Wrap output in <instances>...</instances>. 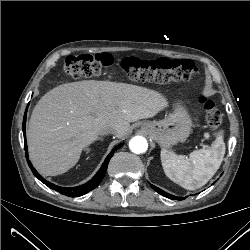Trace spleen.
<instances>
[{
	"mask_svg": "<svg viewBox=\"0 0 250 250\" xmlns=\"http://www.w3.org/2000/svg\"><path fill=\"white\" fill-rule=\"evenodd\" d=\"M225 149L222 134L218 135L209 148L193 151L189 158L162 149V167L170 180L187 190H196L204 186L217 172Z\"/></svg>",
	"mask_w": 250,
	"mask_h": 250,
	"instance_id": "3e777b00",
	"label": "spleen"
}]
</instances>
